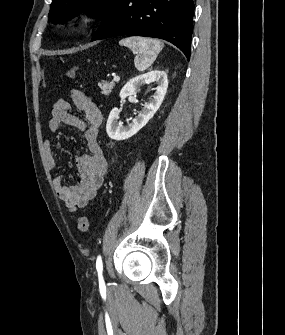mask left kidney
Masks as SVG:
<instances>
[{
	"instance_id": "1",
	"label": "left kidney",
	"mask_w": 285,
	"mask_h": 335,
	"mask_svg": "<svg viewBox=\"0 0 285 335\" xmlns=\"http://www.w3.org/2000/svg\"><path fill=\"white\" fill-rule=\"evenodd\" d=\"M151 82H156V92L154 96H152L149 104H145L143 110L139 112L138 116L132 120L129 126H122L119 116L121 110H118V108L111 110L106 124V132L111 140H127V138H131V136L137 134L143 126H146L147 122L156 114L164 100L168 88L167 74H165V72L153 70V72H147V74L132 78V80H129V82L123 86L119 96L121 100H125L128 96H135V94H138L141 86L151 84Z\"/></svg>"
}]
</instances>
